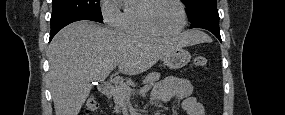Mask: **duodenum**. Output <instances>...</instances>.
Segmentation results:
<instances>
[{"label":"duodenum","mask_w":285,"mask_h":115,"mask_svg":"<svg viewBox=\"0 0 285 115\" xmlns=\"http://www.w3.org/2000/svg\"><path fill=\"white\" fill-rule=\"evenodd\" d=\"M114 89V85L111 82H104L99 86V92L102 95L110 94Z\"/></svg>","instance_id":"obj_1"}]
</instances>
